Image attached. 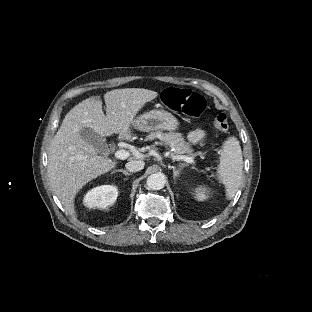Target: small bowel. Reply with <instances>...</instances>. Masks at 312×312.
I'll list each match as a JSON object with an SVG mask.
<instances>
[{"instance_id":"small-bowel-1","label":"small bowel","mask_w":312,"mask_h":312,"mask_svg":"<svg viewBox=\"0 0 312 312\" xmlns=\"http://www.w3.org/2000/svg\"><path fill=\"white\" fill-rule=\"evenodd\" d=\"M205 130L202 128H196L188 134V141L191 144H197L205 138Z\"/></svg>"}]
</instances>
